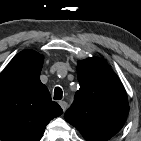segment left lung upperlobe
I'll list each match as a JSON object with an SVG mask.
<instances>
[{
  "instance_id": "1",
  "label": "left lung upper lobe",
  "mask_w": 141,
  "mask_h": 141,
  "mask_svg": "<svg viewBox=\"0 0 141 141\" xmlns=\"http://www.w3.org/2000/svg\"><path fill=\"white\" fill-rule=\"evenodd\" d=\"M80 89L64 117L87 141H107L124 125L129 104L125 89L107 63L97 57L78 63Z\"/></svg>"
}]
</instances>
